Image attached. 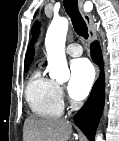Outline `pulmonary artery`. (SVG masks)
<instances>
[{"instance_id":"obj_1","label":"pulmonary artery","mask_w":119,"mask_h":141,"mask_svg":"<svg viewBox=\"0 0 119 141\" xmlns=\"http://www.w3.org/2000/svg\"><path fill=\"white\" fill-rule=\"evenodd\" d=\"M66 52L73 57L81 56L83 53L82 47L77 43H72L68 45L66 48Z\"/></svg>"}]
</instances>
